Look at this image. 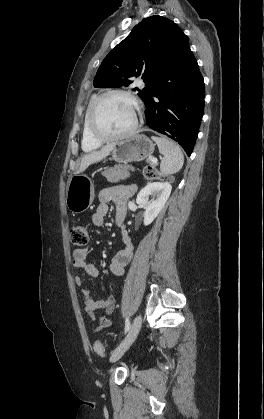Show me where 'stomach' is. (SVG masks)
<instances>
[{"mask_svg":"<svg viewBox=\"0 0 264 419\" xmlns=\"http://www.w3.org/2000/svg\"><path fill=\"white\" fill-rule=\"evenodd\" d=\"M154 143L145 135L137 134L130 139L115 143L112 159L119 163L144 160L154 152ZM94 184L83 174L74 175L68 184L66 206L75 214L86 211L94 200Z\"/></svg>","mask_w":264,"mask_h":419,"instance_id":"obj_1","label":"stomach"}]
</instances>
